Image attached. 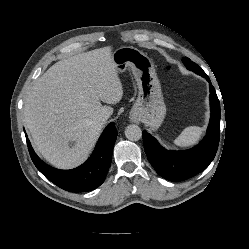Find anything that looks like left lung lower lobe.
Wrapping results in <instances>:
<instances>
[{"label": "left lung lower lobe", "instance_id": "obj_1", "mask_svg": "<svg viewBox=\"0 0 249 249\" xmlns=\"http://www.w3.org/2000/svg\"><path fill=\"white\" fill-rule=\"evenodd\" d=\"M195 73L206 78L210 86L211 118L204 139L189 150L168 151L146 131L142 133L146 155L163 178L170 181H183L205 170L215 157L219 144L220 103L214 87L203 71Z\"/></svg>", "mask_w": 249, "mask_h": 249}]
</instances>
